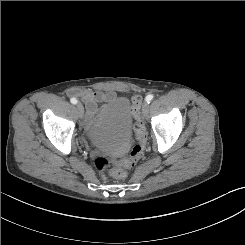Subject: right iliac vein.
Here are the masks:
<instances>
[{"label":"right iliac vein","mask_w":245,"mask_h":245,"mask_svg":"<svg viewBox=\"0 0 245 245\" xmlns=\"http://www.w3.org/2000/svg\"><path fill=\"white\" fill-rule=\"evenodd\" d=\"M76 107H77V110H78L79 117L82 118L83 115H84V107H83V105L79 102V103L76 104Z\"/></svg>","instance_id":"obj_1"}]
</instances>
